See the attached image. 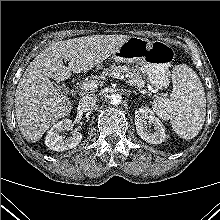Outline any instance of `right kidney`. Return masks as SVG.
Segmentation results:
<instances>
[{
	"instance_id": "1",
	"label": "right kidney",
	"mask_w": 220,
	"mask_h": 220,
	"mask_svg": "<svg viewBox=\"0 0 220 220\" xmlns=\"http://www.w3.org/2000/svg\"><path fill=\"white\" fill-rule=\"evenodd\" d=\"M73 124L72 120L64 119L57 122L51 129L48 131V134L45 138V144L49 149L54 151H65L71 148L76 147L82 140V134L79 132H74L71 137L65 138L62 135V132L69 131L72 129Z\"/></svg>"
}]
</instances>
